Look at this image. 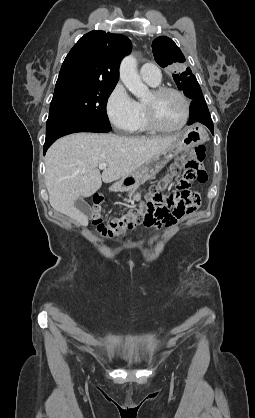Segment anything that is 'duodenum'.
Instances as JSON below:
<instances>
[{
	"instance_id": "1",
	"label": "duodenum",
	"mask_w": 255,
	"mask_h": 418,
	"mask_svg": "<svg viewBox=\"0 0 255 418\" xmlns=\"http://www.w3.org/2000/svg\"><path fill=\"white\" fill-rule=\"evenodd\" d=\"M124 187V184H123V182H117V183H115V185H114V187H113V190H120V189H122Z\"/></svg>"
}]
</instances>
